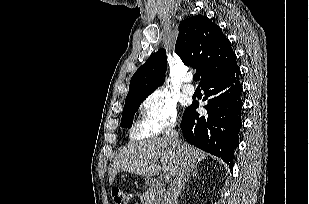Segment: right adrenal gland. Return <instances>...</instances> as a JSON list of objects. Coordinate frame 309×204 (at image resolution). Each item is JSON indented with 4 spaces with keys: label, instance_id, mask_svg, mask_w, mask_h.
Wrapping results in <instances>:
<instances>
[{
    "label": "right adrenal gland",
    "instance_id": "obj_1",
    "mask_svg": "<svg viewBox=\"0 0 309 204\" xmlns=\"http://www.w3.org/2000/svg\"><path fill=\"white\" fill-rule=\"evenodd\" d=\"M198 176V170L197 168H191V174L189 175V177L187 178L186 182L188 181V179L190 177H197ZM185 189V186L183 188V190Z\"/></svg>",
    "mask_w": 309,
    "mask_h": 204
}]
</instances>
